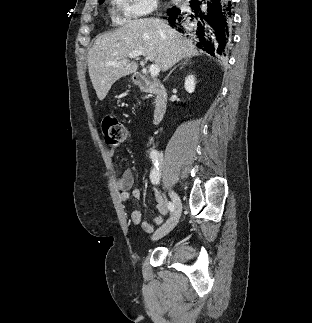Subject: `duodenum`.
Instances as JSON below:
<instances>
[{
  "label": "duodenum",
  "instance_id": "410a0bca",
  "mask_svg": "<svg viewBox=\"0 0 312 323\" xmlns=\"http://www.w3.org/2000/svg\"><path fill=\"white\" fill-rule=\"evenodd\" d=\"M133 81L139 89L153 94V122H159L165 116L168 109V91L166 87L158 79L148 78L142 73H136Z\"/></svg>",
  "mask_w": 312,
  "mask_h": 323
}]
</instances>
